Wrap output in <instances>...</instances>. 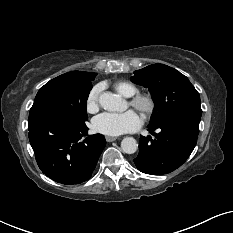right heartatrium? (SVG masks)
<instances>
[{
	"label": "right heart atrium",
	"instance_id": "1",
	"mask_svg": "<svg viewBox=\"0 0 233 233\" xmlns=\"http://www.w3.org/2000/svg\"><path fill=\"white\" fill-rule=\"evenodd\" d=\"M100 91L101 88L97 85L89 92L86 100V107L88 111L93 112L98 108Z\"/></svg>",
	"mask_w": 233,
	"mask_h": 233
}]
</instances>
